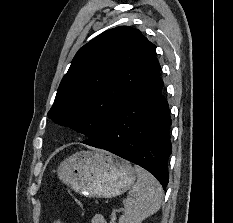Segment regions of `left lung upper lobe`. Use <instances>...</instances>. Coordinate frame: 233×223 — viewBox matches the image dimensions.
Masks as SVG:
<instances>
[{
  "label": "left lung upper lobe",
  "mask_w": 233,
  "mask_h": 223,
  "mask_svg": "<svg viewBox=\"0 0 233 223\" xmlns=\"http://www.w3.org/2000/svg\"><path fill=\"white\" fill-rule=\"evenodd\" d=\"M155 53L138 29L103 32L76 53L48 117L84 134L88 143L141 84Z\"/></svg>",
  "instance_id": "5c2ea615"
}]
</instances>
